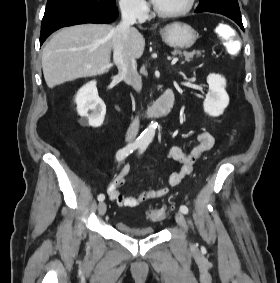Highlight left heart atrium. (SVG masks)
<instances>
[{"label":"left heart atrium","mask_w":280,"mask_h":283,"mask_svg":"<svg viewBox=\"0 0 280 283\" xmlns=\"http://www.w3.org/2000/svg\"><path fill=\"white\" fill-rule=\"evenodd\" d=\"M152 2H153L154 4H156L157 0H152Z\"/></svg>","instance_id":"39dd6f15"}]
</instances>
